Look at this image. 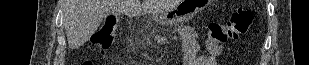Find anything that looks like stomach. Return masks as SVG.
Listing matches in <instances>:
<instances>
[{
  "instance_id": "0dacf381",
  "label": "stomach",
  "mask_w": 309,
  "mask_h": 65,
  "mask_svg": "<svg viewBox=\"0 0 309 65\" xmlns=\"http://www.w3.org/2000/svg\"><path fill=\"white\" fill-rule=\"evenodd\" d=\"M212 0H181L174 8L152 16V20L170 25L183 24L203 11Z\"/></svg>"
}]
</instances>
